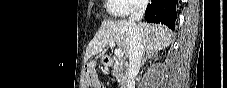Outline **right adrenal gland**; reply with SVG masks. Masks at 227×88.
Listing matches in <instances>:
<instances>
[{
    "label": "right adrenal gland",
    "instance_id": "obj_1",
    "mask_svg": "<svg viewBox=\"0 0 227 88\" xmlns=\"http://www.w3.org/2000/svg\"><path fill=\"white\" fill-rule=\"evenodd\" d=\"M157 58H158L157 52L151 51V50H145L142 58L141 66H143L148 59H157Z\"/></svg>",
    "mask_w": 227,
    "mask_h": 88
}]
</instances>
